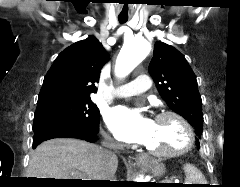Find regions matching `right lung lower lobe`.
<instances>
[{"label": "right lung lower lobe", "mask_w": 240, "mask_h": 187, "mask_svg": "<svg viewBox=\"0 0 240 187\" xmlns=\"http://www.w3.org/2000/svg\"><path fill=\"white\" fill-rule=\"evenodd\" d=\"M98 132L99 125L92 128L77 129L62 124H50L34 131L33 148H36L43 141L53 138H78L95 142Z\"/></svg>", "instance_id": "1"}]
</instances>
